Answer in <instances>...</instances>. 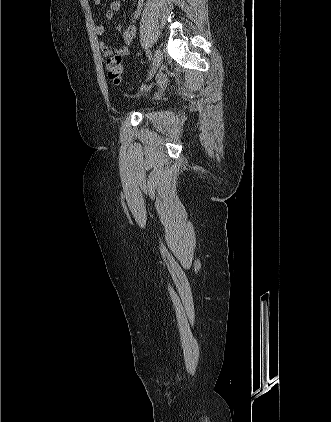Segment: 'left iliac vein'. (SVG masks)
<instances>
[{"label":"left iliac vein","mask_w":331,"mask_h":422,"mask_svg":"<svg viewBox=\"0 0 331 422\" xmlns=\"http://www.w3.org/2000/svg\"><path fill=\"white\" fill-rule=\"evenodd\" d=\"M162 60H163V53L161 49L157 47L154 52L153 64H152V68L148 76V79H151L152 76L155 74L157 69L160 67Z\"/></svg>","instance_id":"4c4485c4"}]
</instances>
